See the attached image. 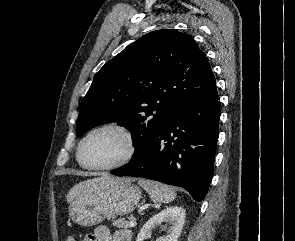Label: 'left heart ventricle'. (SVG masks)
Listing matches in <instances>:
<instances>
[{
    "mask_svg": "<svg viewBox=\"0 0 295 241\" xmlns=\"http://www.w3.org/2000/svg\"><path fill=\"white\" fill-rule=\"evenodd\" d=\"M127 152L124 136L112 129L101 130L89 137L82 150V160L92 166L109 165L119 161Z\"/></svg>",
    "mask_w": 295,
    "mask_h": 241,
    "instance_id": "1",
    "label": "left heart ventricle"
}]
</instances>
